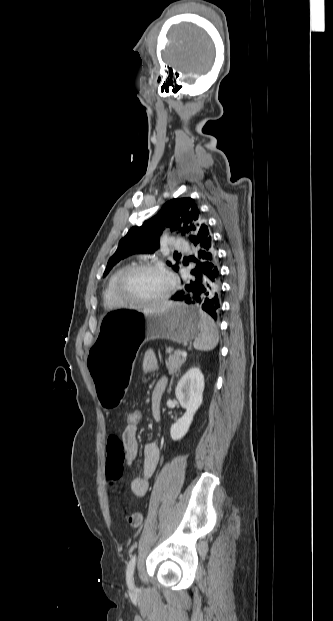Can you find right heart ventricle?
<instances>
[{
	"label": "right heart ventricle",
	"mask_w": 333,
	"mask_h": 621,
	"mask_svg": "<svg viewBox=\"0 0 333 621\" xmlns=\"http://www.w3.org/2000/svg\"><path fill=\"white\" fill-rule=\"evenodd\" d=\"M125 268L126 267L124 266L117 268L107 280L103 291V303L107 308L118 307L121 305L115 292V282Z\"/></svg>",
	"instance_id": "1"
}]
</instances>
